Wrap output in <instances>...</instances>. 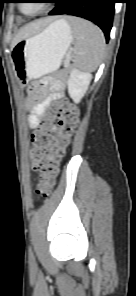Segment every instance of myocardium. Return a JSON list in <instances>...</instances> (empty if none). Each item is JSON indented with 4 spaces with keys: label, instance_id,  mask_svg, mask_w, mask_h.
<instances>
[{
    "label": "myocardium",
    "instance_id": "myocardium-1",
    "mask_svg": "<svg viewBox=\"0 0 136 296\" xmlns=\"http://www.w3.org/2000/svg\"><path fill=\"white\" fill-rule=\"evenodd\" d=\"M21 10L24 12V13H26L25 11H24V9H23V4L21 5ZM37 12V11H36ZM35 12H33V13H29L30 15H33Z\"/></svg>",
    "mask_w": 136,
    "mask_h": 296
}]
</instances>
